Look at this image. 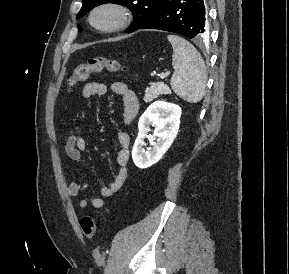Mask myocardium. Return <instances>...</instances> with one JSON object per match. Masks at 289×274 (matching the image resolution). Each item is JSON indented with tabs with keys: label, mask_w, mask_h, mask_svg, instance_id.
<instances>
[{
	"label": "myocardium",
	"mask_w": 289,
	"mask_h": 274,
	"mask_svg": "<svg viewBox=\"0 0 289 274\" xmlns=\"http://www.w3.org/2000/svg\"><path fill=\"white\" fill-rule=\"evenodd\" d=\"M102 12L112 14V21L108 25H98L95 17ZM133 14L130 7L122 2L107 0L93 6L88 13V23L96 31L104 34L119 32L130 25Z\"/></svg>",
	"instance_id": "obj_1"
}]
</instances>
